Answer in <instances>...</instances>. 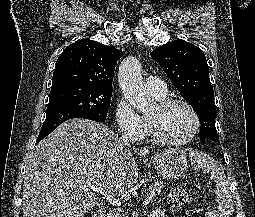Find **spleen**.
Returning <instances> with one entry per match:
<instances>
[{"mask_svg":"<svg viewBox=\"0 0 255 217\" xmlns=\"http://www.w3.org/2000/svg\"><path fill=\"white\" fill-rule=\"evenodd\" d=\"M194 166L196 169L212 170L216 179H222L223 175L221 170L216 164L210 162L205 155L199 154L194 160Z\"/></svg>","mask_w":255,"mask_h":217,"instance_id":"obj_1","label":"spleen"}]
</instances>
